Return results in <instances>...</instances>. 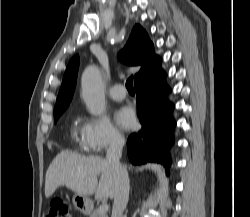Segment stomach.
Masks as SVG:
<instances>
[{
    "instance_id": "1",
    "label": "stomach",
    "mask_w": 250,
    "mask_h": 217,
    "mask_svg": "<svg viewBox=\"0 0 250 217\" xmlns=\"http://www.w3.org/2000/svg\"><path fill=\"white\" fill-rule=\"evenodd\" d=\"M72 202L75 208L84 215H88L92 212L93 202L89 196L75 194L73 196Z\"/></svg>"
}]
</instances>
